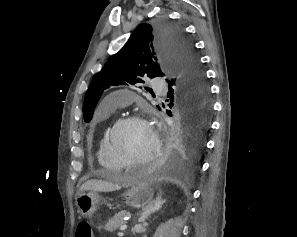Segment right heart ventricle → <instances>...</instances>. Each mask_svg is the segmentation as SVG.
I'll return each mask as SVG.
<instances>
[{
    "label": "right heart ventricle",
    "mask_w": 297,
    "mask_h": 237,
    "mask_svg": "<svg viewBox=\"0 0 297 237\" xmlns=\"http://www.w3.org/2000/svg\"><path fill=\"white\" fill-rule=\"evenodd\" d=\"M113 112L112 109L104 108L101 106V116H108ZM110 130V127H107L102 136L100 137L97 144V160L99 165L108 171L110 174L117 173L121 171L124 166L110 153L107 145V134Z\"/></svg>",
    "instance_id": "obj_1"
}]
</instances>
